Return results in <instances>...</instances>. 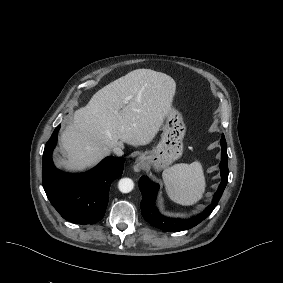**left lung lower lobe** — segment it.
Here are the masks:
<instances>
[{"label":"left lung lower lobe","instance_id":"obj_1","mask_svg":"<svg viewBox=\"0 0 283 283\" xmlns=\"http://www.w3.org/2000/svg\"><path fill=\"white\" fill-rule=\"evenodd\" d=\"M221 147L222 151L220 169L222 181L214 195L212 204L208 206L206 210L190 219L170 218L161 214L155 206V199L159 186L158 184L151 182L148 177L142 176L139 180V189L142 193V201L140 206L144 219L152 226L167 232L187 230L195 227L204 219H206L217 206L228 181V155L224 135H222L221 138Z\"/></svg>","mask_w":283,"mask_h":283}]
</instances>
